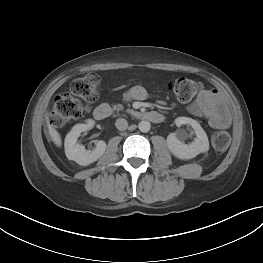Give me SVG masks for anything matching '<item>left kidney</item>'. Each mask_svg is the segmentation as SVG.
<instances>
[{
    "label": "left kidney",
    "mask_w": 263,
    "mask_h": 263,
    "mask_svg": "<svg viewBox=\"0 0 263 263\" xmlns=\"http://www.w3.org/2000/svg\"><path fill=\"white\" fill-rule=\"evenodd\" d=\"M175 124L178 127L183 124L190 125L196 133V138L192 143L185 144L180 141L176 133L169 134L166 140L167 146L174 156L179 159L188 160L209 150L207 134L196 120L189 117H178L175 119Z\"/></svg>",
    "instance_id": "5707ae66"
}]
</instances>
